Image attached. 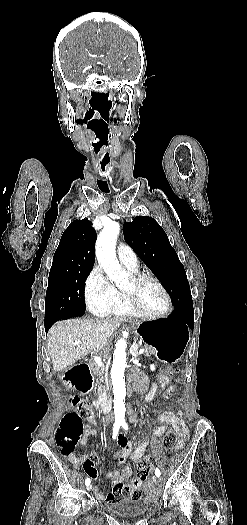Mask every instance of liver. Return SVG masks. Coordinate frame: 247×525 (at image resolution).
<instances>
[{
	"label": "liver",
	"mask_w": 247,
	"mask_h": 525,
	"mask_svg": "<svg viewBox=\"0 0 247 525\" xmlns=\"http://www.w3.org/2000/svg\"><path fill=\"white\" fill-rule=\"evenodd\" d=\"M121 323L113 319H68L52 325L46 349L53 371H64L93 351H104Z\"/></svg>",
	"instance_id": "1"
}]
</instances>
